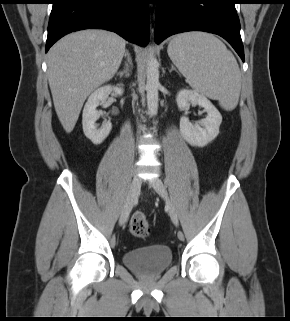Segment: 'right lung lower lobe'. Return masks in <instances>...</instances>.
Returning <instances> with one entry per match:
<instances>
[{"mask_svg":"<svg viewBox=\"0 0 290 321\" xmlns=\"http://www.w3.org/2000/svg\"><path fill=\"white\" fill-rule=\"evenodd\" d=\"M46 52L64 35L82 29L116 32L140 46L149 42V0H52Z\"/></svg>","mask_w":290,"mask_h":321,"instance_id":"1","label":"right lung lower lobe"}]
</instances>
